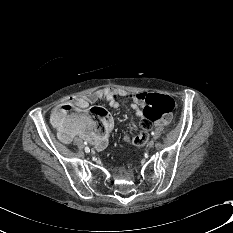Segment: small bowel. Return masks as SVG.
Listing matches in <instances>:
<instances>
[{
  "mask_svg": "<svg viewBox=\"0 0 233 233\" xmlns=\"http://www.w3.org/2000/svg\"><path fill=\"white\" fill-rule=\"evenodd\" d=\"M142 92L138 93H129L122 89L117 88H104L100 89L96 92H92L83 96L72 97L68 100L67 104L71 105L74 109V112H80L87 109L90 105L100 101L105 100L108 102L111 108L117 109L120 106V98H130L132 99V109L135 113L141 116V112H139L134 105L135 97ZM152 95V94H151ZM59 111V107L53 111V115L57 114ZM74 114V113H73ZM71 114L70 116H72ZM103 126L102 131H92L81 128L75 124V121L71 124H68V127L65 129L56 128L58 131L59 138L65 142L70 143L74 136H80L90 142L96 150H103L109 141V138L113 131V120H102L100 121ZM55 125V124H54ZM56 127V126H55ZM132 131H136V126H132ZM133 139V133L127 134L124 137L126 142H130Z\"/></svg>",
  "mask_w": 233,
  "mask_h": 233,
  "instance_id": "obj_1",
  "label": "small bowel"
}]
</instances>
